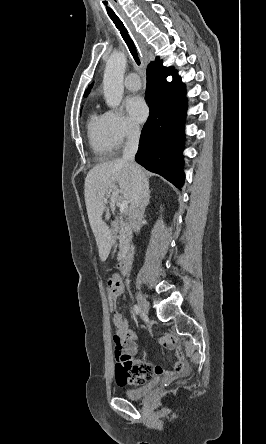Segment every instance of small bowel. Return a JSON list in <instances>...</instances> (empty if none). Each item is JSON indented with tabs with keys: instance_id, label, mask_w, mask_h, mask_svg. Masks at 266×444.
Here are the masks:
<instances>
[{
	"instance_id": "obj_1",
	"label": "small bowel",
	"mask_w": 266,
	"mask_h": 444,
	"mask_svg": "<svg viewBox=\"0 0 266 444\" xmlns=\"http://www.w3.org/2000/svg\"><path fill=\"white\" fill-rule=\"evenodd\" d=\"M110 281H118L120 283L119 295H121L123 293V285L120 277L113 275L108 280V284ZM112 321L116 327V333L113 336L116 381L120 386H139L146 381L158 379L159 377H162L164 382H171L189 372V367L179 350L176 351L174 356V366L169 370H165L161 365H153L146 360L136 358V336L127 320L118 311L112 315ZM160 343L167 350L174 349L177 345L176 340L168 335L161 337Z\"/></svg>"
}]
</instances>
